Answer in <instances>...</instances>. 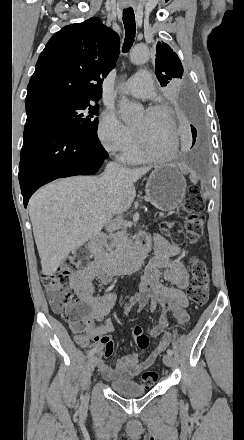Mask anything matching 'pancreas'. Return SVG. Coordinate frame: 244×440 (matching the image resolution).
<instances>
[{"mask_svg":"<svg viewBox=\"0 0 244 440\" xmlns=\"http://www.w3.org/2000/svg\"><path fill=\"white\" fill-rule=\"evenodd\" d=\"M111 238L113 240L111 244H108L107 240H105V242H101L99 246V252H101L104 260H107V262L121 260L123 252H126L127 248L132 244V240H130L129 234H127L126 230L116 232ZM105 248L107 252H104Z\"/></svg>","mask_w":244,"mask_h":440,"instance_id":"obj_1","label":"pancreas"}]
</instances>
